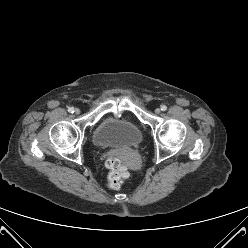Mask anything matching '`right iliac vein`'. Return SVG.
<instances>
[{
    "instance_id": "obj_1",
    "label": "right iliac vein",
    "mask_w": 248,
    "mask_h": 248,
    "mask_svg": "<svg viewBox=\"0 0 248 248\" xmlns=\"http://www.w3.org/2000/svg\"><path fill=\"white\" fill-rule=\"evenodd\" d=\"M75 114H77V115L80 114V109L76 108L75 109Z\"/></svg>"
}]
</instances>
